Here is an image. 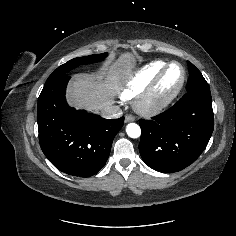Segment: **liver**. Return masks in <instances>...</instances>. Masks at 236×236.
<instances>
[{"instance_id":"1","label":"liver","mask_w":236,"mask_h":236,"mask_svg":"<svg viewBox=\"0 0 236 236\" xmlns=\"http://www.w3.org/2000/svg\"><path fill=\"white\" fill-rule=\"evenodd\" d=\"M133 64V55L124 53L108 71L98 75H74L67 91L68 103L77 109L83 108L92 112H99L110 106L120 78Z\"/></svg>"}]
</instances>
